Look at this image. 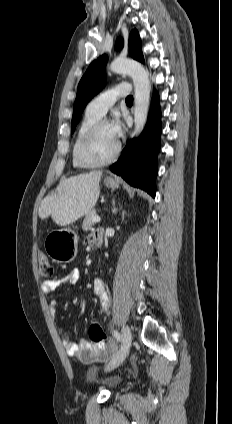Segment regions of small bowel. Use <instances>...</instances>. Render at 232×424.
<instances>
[{
  "instance_id": "1",
  "label": "small bowel",
  "mask_w": 232,
  "mask_h": 424,
  "mask_svg": "<svg viewBox=\"0 0 232 424\" xmlns=\"http://www.w3.org/2000/svg\"><path fill=\"white\" fill-rule=\"evenodd\" d=\"M101 232L97 231L88 239L86 243H95V240ZM80 271L73 269L68 272L65 276L58 280H46L42 283V290L45 294H51L61 285H74L79 281ZM93 293L99 298L103 307H106L109 302V298L103 282L100 279H96L93 282ZM51 311L56 312V301H50ZM63 337V345L66 352L82 363H93V362H105L110 360L116 353L117 347L114 342L109 341L106 344L100 345L99 343H92L88 340L82 339L78 342H74L69 339L67 333L64 330H60ZM114 344L113 346L111 344Z\"/></svg>"
}]
</instances>
